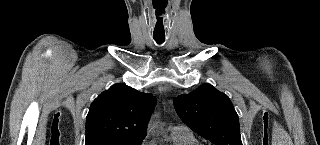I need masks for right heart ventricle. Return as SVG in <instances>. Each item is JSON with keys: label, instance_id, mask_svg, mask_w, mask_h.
Listing matches in <instances>:
<instances>
[{"label": "right heart ventricle", "instance_id": "e07e8e85", "mask_svg": "<svg viewBox=\"0 0 320 145\" xmlns=\"http://www.w3.org/2000/svg\"><path fill=\"white\" fill-rule=\"evenodd\" d=\"M170 145H200L197 138L190 131L188 132H171L169 138Z\"/></svg>", "mask_w": 320, "mask_h": 145}]
</instances>
